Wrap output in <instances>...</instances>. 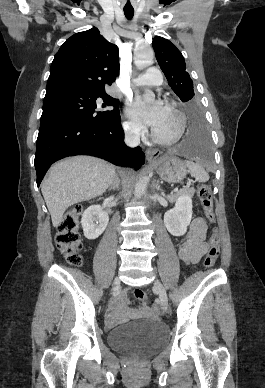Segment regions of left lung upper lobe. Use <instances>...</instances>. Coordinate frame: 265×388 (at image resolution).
Returning <instances> with one entry per match:
<instances>
[{
    "mask_svg": "<svg viewBox=\"0 0 265 388\" xmlns=\"http://www.w3.org/2000/svg\"><path fill=\"white\" fill-rule=\"evenodd\" d=\"M158 64L169 85L189 109L199 108L194 96L193 82L186 72V64L181 52L169 40L155 36L152 42Z\"/></svg>",
    "mask_w": 265,
    "mask_h": 388,
    "instance_id": "obj_1",
    "label": "left lung upper lobe"
}]
</instances>
